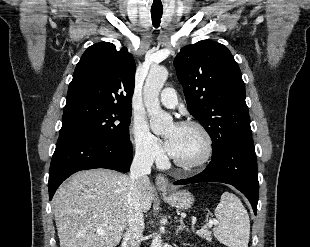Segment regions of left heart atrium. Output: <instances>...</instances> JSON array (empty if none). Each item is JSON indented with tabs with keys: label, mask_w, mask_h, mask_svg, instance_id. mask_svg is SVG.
Listing matches in <instances>:
<instances>
[{
	"label": "left heart atrium",
	"mask_w": 310,
	"mask_h": 247,
	"mask_svg": "<svg viewBox=\"0 0 310 247\" xmlns=\"http://www.w3.org/2000/svg\"><path fill=\"white\" fill-rule=\"evenodd\" d=\"M164 146L168 154L172 156L175 150L174 137L173 136L167 137Z\"/></svg>",
	"instance_id": "39dd6f15"
}]
</instances>
